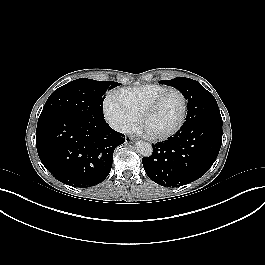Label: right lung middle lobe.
Here are the masks:
<instances>
[{"instance_id":"right-lung-middle-lobe-1","label":"right lung middle lobe","mask_w":265,"mask_h":265,"mask_svg":"<svg viewBox=\"0 0 265 265\" xmlns=\"http://www.w3.org/2000/svg\"><path fill=\"white\" fill-rule=\"evenodd\" d=\"M120 83L80 78L56 89L47 99L42 113L63 112L104 118L103 100L107 89Z\"/></svg>"}]
</instances>
